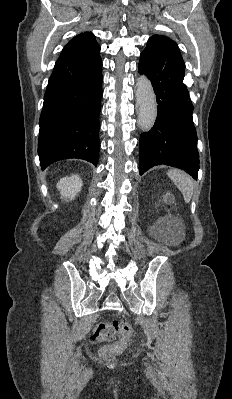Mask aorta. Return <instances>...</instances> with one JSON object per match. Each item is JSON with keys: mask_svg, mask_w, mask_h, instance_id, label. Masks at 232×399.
<instances>
[{"mask_svg": "<svg viewBox=\"0 0 232 399\" xmlns=\"http://www.w3.org/2000/svg\"><path fill=\"white\" fill-rule=\"evenodd\" d=\"M136 98L139 106L138 125L143 131H149L157 116L155 93L150 80L141 75L136 82Z\"/></svg>", "mask_w": 232, "mask_h": 399, "instance_id": "762f6f07", "label": "aorta"}]
</instances>
